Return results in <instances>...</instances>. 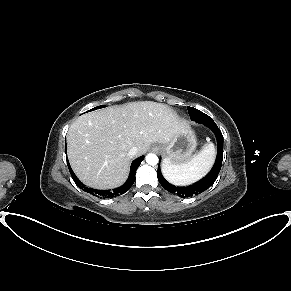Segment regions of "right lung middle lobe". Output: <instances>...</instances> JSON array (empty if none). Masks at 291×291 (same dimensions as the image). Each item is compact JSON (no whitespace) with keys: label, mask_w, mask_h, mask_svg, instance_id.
Here are the masks:
<instances>
[{"label":"right lung middle lobe","mask_w":291,"mask_h":291,"mask_svg":"<svg viewBox=\"0 0 291 291\" xmlns=\"http://www.w3.org/2000/svg\"><path fill=\"white\" fill-rule=\"evenodd\" d=\"M103 107H105V106H103V105H101V106H97V107H95V108H93V109H90L89 111H93V110L100 109V108H103ZM89 111H87V112H89Z\"/></svg>","instance_id":"dd1d6c3e"}]
</instances>
